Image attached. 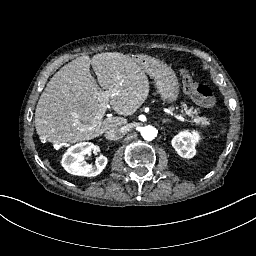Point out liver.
<instances>
[{
	"label": "liver",
	"instance_id": "6515ba94",
	"mask_svg": "<svg viewBox=\"0 0 256 256\" xmlns=\"http://www.w3.org/2000/svg\"><path fill=\"white\" fill-rule=\"evenodd\" d=\"M103 91L110 96L101 94ZM149 92L147 65L140 59L116 51L79 57L63 66L40 96L35 110L37 134L52 143L92 140L127 124L121 116L103 119L105 113L96 124L102 104L104 111L110 106L122 116H131Z\"/></svg>",
	"mask_w": 256,
	"mask_h": 256
}]
</instances>
